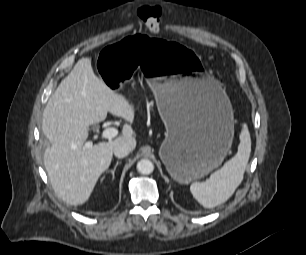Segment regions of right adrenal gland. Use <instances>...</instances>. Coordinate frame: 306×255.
Masks as SVG:
<instances>
[{"label": "right adrenal gland", "mask_w": 306, "mask_h": 255, "mask_svg": "<svg viewBox=\"0 0 306 255\" xmlns=\"http://www.w3.org/2000/svg\"><path fill=\"white\" fill-rule=\"evenodd\" d=\"M119 164H121V161H117L116 164H115V166H114V168H113V170H110V173L112 174V178H114L115 170H116V168H117V166H118Z\"/></svg>", "instance_id": "1"}]
</instances>
